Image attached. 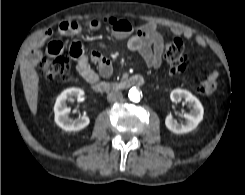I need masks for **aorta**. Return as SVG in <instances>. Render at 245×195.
<instances>
[{"label": "aorta", "mask_w": 245, "mask_h": 195, "mask_svg": "<svg viewBox=\"0 0 245 195\" xmlns=\"http://www.w3.org/2000/svg\"><path fill=\"white\" fill-rule=\"evenodd\" d=\"M128 97L133 102H139L140 101V92L138 91L137 88L132 87L129 90Z\"/></svg>", "instance_id": "1"}]
</instances>
